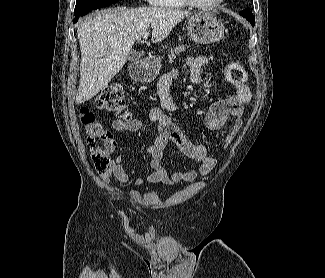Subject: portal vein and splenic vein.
Here are the masks:
<instances>
[{"mask_svg":"<svg viewBox=\"0 0 325 278\" xmlns=\"http://www.w3.org/2000/svg\"><path fill=\"white\" fill-rule=\"evenodd\" d=\"M148 35H149V33L147 31H144L142 34L143 39L146 40L148 38Z\"/></svg>","mask_w":325,"mask_h":278,"instance_id":"18ae733b","label":"portal vein and splenic vein"}]
</instances>
